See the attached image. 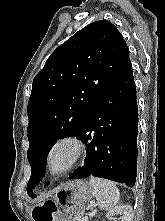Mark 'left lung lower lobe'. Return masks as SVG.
<instances>
[{"label":"left lung lower lobe","instance_id":"0a47b994","mask_svg":"<svg viewBox=\"0 0 165 221\" xmlns=\"http://www.w3.org/2000/svg\"><path fill=\"white\" fill-rule=\"evenodd\" d=\"M138 105L130 59L101 94L75 135L87 143L71 179L95 176L133 187L137 173Z\"/></svg>","mask_w":165,"mask_h":221}]
</instances>
